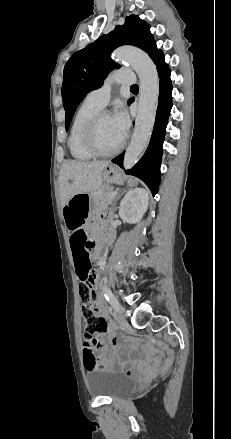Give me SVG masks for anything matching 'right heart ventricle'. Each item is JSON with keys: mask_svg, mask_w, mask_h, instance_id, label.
I'll use <instances>...</instances> for the list:
<instances>
[{"mask_svg": "<svg viewBox=\"0 0 231 439\" xmlns=\"http://www.w3.org/2000/svg\"><path fill=\"white\" fill-rule=\"evenodd\" d=\"M102 108L88 102L86 99L76 110L71 122L67 139L68 149L73 158L87 161L93 158V154L87 149L83 141V131L86 123L97 111Z\"/></svg>", "mask_w": 231, "mask_h": 439, "instance_id": "1", "label": "right heart ventricle"}]
</instances>
